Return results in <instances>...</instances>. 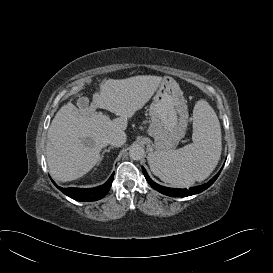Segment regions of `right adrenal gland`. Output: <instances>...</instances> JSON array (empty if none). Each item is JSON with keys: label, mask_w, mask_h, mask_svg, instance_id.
Returning <instances> with one entry per match:
<instances>
[{"label": "right adrenal gland", "mask_w": 273, "mask_h": 273, "mask_svg": "<svg viewBox=\"0 0 273 273\" xmlns=\"http://www.w3.org/2000/svg\"><path fill=\"white\" fill-rule=\"evenodd\" d=\"M111 149H113V147H109L108 149H105V150L102 152L101 157H100V160H99V163L103 160L104 154H105L106 152H110ZM99 163H98V164H99Z\"/></svg>", "instance_id": "2a0ac1e0"}]
</instances>
